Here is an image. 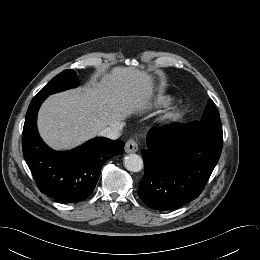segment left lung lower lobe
Wrapping results in <instances>:
<instances>
[{
    "instance_id": "1",
    "label": "left lung lower lobe",
    "mask_w": 260,
    "mask_h": 260,
    "mask_svg": "<svg viewBox=\"0 0 260 260\" xmlns=\"http://www.w3.org/2000/svg\"><path fill=\"white\" fill-rule=\"evenodd\" d=\"M223 132L173 123L155 128L142 151L145 174L138 195L155 210H171L197 198L215 168Z\"/></svg>"
}]
</instances>
